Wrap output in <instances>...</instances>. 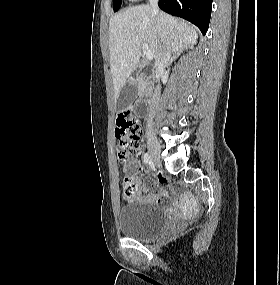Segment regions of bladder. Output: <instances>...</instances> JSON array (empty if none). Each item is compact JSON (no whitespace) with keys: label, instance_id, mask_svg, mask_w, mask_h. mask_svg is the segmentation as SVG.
I'll return each instance as SVG.
<instances>
[{"label":"bladder","instance_id":"obj_1","mask_svg":"<svg viewBox=\"0 0 280 285\" xmlns=\"http://www.w3.org/2000/svg\"><path fill=\"white\" fill-rule=\"evenodd\" d=\"M169 219L159 208L144 201L123 205L118 212V225L127 237L146 240L161 233Z\"/></svg>","mask_w":280,"mask_h":285}]
</instances>
